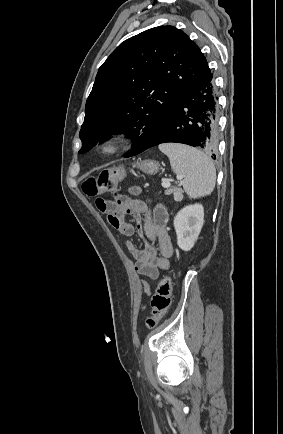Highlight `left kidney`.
I'll return each instance as SVG.
<instances>
[{
    "label": "left kidney",
    "mask_w": 283,
    "mask_h": 434,
    "mask_svg": "<svg viewBox=\"0 0 283 434\" xmlns=\"http://www.w3.org/2000/svg\"><path fill=\"white\" fill-rule=\"evenodd\" d=\"M204 222V208L193 204L182 208L174 218L177 244L184 251L193 248Z\"/></svg>",
    "instance_id": "1"
}]
</instances>
